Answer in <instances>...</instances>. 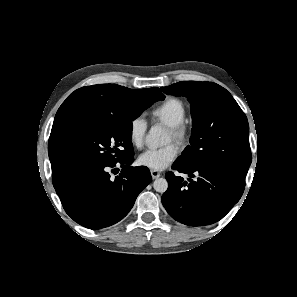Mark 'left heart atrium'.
Here are the masks:
<instances>
[{
	"instance_id": "obj_1",
	"label": "left heart atrium",
	"mask_w": 297,
	"mask_h": 297,
	"mask_svg": "<svg viewBox=\"0 0 297 297\" xmlns=\"http://www.w3.org/2000/svg\"><path fill=\"white\" fill-rule=\"evenodd\" d=\"M178 155V149L173 144L161 148L149 149L139 156V163L152 170H163L168 167Z\"/></svg>"
}]
</instances>
